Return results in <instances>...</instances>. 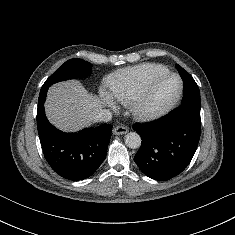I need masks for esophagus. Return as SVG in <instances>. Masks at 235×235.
Returning <instances> with one entry per match:
<instances>
[{
  "instance_id": "34e87169",
  "label": "esophagus",
  "mask_w": 235,
  "mask_h": 235,
  "mask_svg": "<svg viewBox=\"0 0 235 235\" xmlns=\"http://www.w3.org/2000/svg\"><path fill=\"white\" fill-rule=\"evenodd\" d=\"M128 132V128L125 127V126H116L114 129H113V133L115 135H122V134H126Z\"/></svg>"
}]
</instances>
